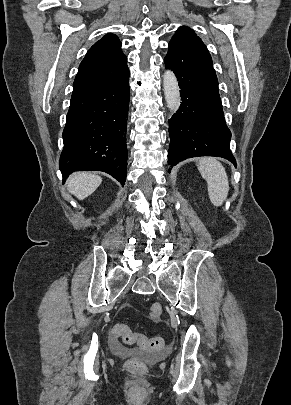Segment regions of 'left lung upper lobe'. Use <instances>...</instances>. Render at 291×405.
I'll return each mask as SVG.
<instances>
[{
    "label": "left lung upper lobe",
    "instance_id": "5c2ea615",
    "mask_svg": "<svg viewBox=\"0 0 291 405\" xmlns=\"http://www.w3.org/2000/svg\"><path fill=\"white\" fill-rule=\"evenodd\" d=\"M172 39H183L194 45L206 48L204 43L201 41V39L199 37L196 36L194 31L185 26L180 27L176 31V34L172 37Z\"/></svg>",
    "mask_w": 291,
    "mask_h": 405
}]
</instances>
